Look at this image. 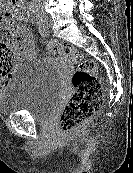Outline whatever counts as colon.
Returning <instances> with one entry per match:
<instances>
[{
    "instance_id": "obj_1",
    "label": "colon",
    "mask_w": 133,
    "mask_h": 173,
    "mask_svg": "<svg viewBox=\"0 0 133 173\" xmlns=\"http://www.w3.org/2000/svg\"><path fill=\"white\" fill-rule=\"evenodd\" d=\"M0 25L6 40L23 32L11 14H6L0 20ZM47 48L50 52L68 58L75 67L71 76L73 93L59 117L61 129L69 133L96 114L102 104V84L95 62L80 51L57 41L49 42ZM14 64L13 51L7 42L0 41V87L8 80Z\"/></svg>"
}]
</instances>
